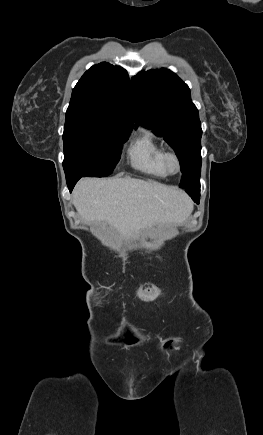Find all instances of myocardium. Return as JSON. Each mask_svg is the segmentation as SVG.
Returning <instances> with one entry per match:
<instances>
[{
	"label": "myocardium",
	"instance_id": "f54148a6",
	"mask_svg": "<svg viewBox=\"0 0 263 435\" xmlns=\"http://www.w3.org/2000/svg\"><path fill=\"white\" fill-rule=\"evenodd\" d=\"M174 162V167L172 166ZM163 165L168 174H177L182 168V162L179 154L175 150H168L163 155Z\"/></svg>",
	"mask_w": 263,
	"mask_h": 435
}]
</instances>
